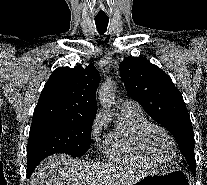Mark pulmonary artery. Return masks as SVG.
Masks as SVG:
<instances>
[{"mask_svg":"<svg viewBox=\"0 0 207 185\" xmlns=\"http://www.w3.org/2000/svg\"><path fill=\"white\" fill-rule=\"evenodd\" d=\"M121 109L122 110H127V111H137V112L140 111L139 106L136 103L131 102V101H124L122 103Z\"/></svg>","mask_w":207,"mask_h":185,"instance_id":"pulmonary-artery-1","label":"pulmonary artery"}]
</instances>
